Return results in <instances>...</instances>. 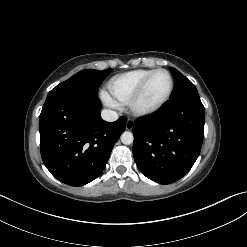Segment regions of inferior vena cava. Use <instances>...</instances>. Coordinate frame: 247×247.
Wrapping results in <instances>:
<instances>
[{"mask_svg": "<svg viewBox=\"0 0 247 247\" xmlns=\"http://www.w3.org/2000/svg\"><path fill=\"white\" fill-rule=\"evenodd\" d=\"M101 117L107 122H113L118 119V114L115 111L104 109L101 111Z\"/></svg>", "mask_w": 247, "mask_h": 247, "instance_id": "inferior-vena-cava-1", "label": "inferior vena cava"}]
</instances>
